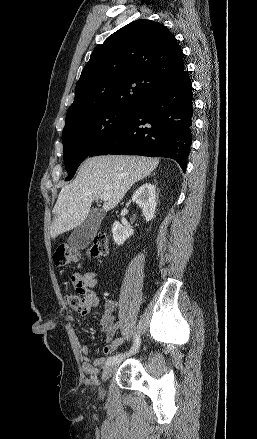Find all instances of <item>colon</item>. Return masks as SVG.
<instances>
[{"mask_svg":"<svg viewBox=\"0 0 257 439\" xmlns=\"http://www.w3.org/2000/svg\"><path fill=\"white\" fill-rule=\"evenodd\" d=\"M108 251L107 236L98 233L93 243L87 248L86 255L93 258L106 256ZM81 256V252L71 246H59L53 255L56 265L63 266L75 263ZM85 292L83 289H75L74 292H67L64 296L66 306L75 312L81 313L85 307Z\"/></svg>","mask_w":257,"mask_h":439,"instance_id":"colon-1","label":"colon"}]
</instances>
